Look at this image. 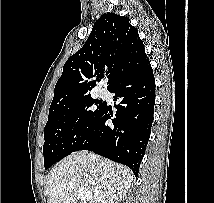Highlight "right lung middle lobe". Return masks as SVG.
<instances>
[{
	"mask_svg": "<svg viewBox=\"0 0 214 203\" xmlns=\"http://www.w3.org/2000/svg\"><path fill=\"white\" fill-rule=\"evenodd\" d=\"M94 104H99L96 109H92ZM103 106L88 96L49 111L44 128L45 169L74 151L91 131Z\"/></svg>",
	"mask_w": 214,
	"mask_h": 203,
	"instance_id": "dd1d6c3e",
	"label": "right lung middle lobe"
}]
</instances>
